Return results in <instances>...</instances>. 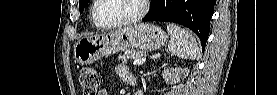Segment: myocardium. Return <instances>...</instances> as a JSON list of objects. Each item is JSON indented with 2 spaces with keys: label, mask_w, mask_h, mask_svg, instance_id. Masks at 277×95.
<instances>
[{
  "label": "myocardium",
  "mask_w": 277,
  "mask_h": 95,
  "mask_svg": "<svg viewBox=\"0 0 277 95\" xmlns=\"http://www.w3.org/2000/svg\"><path fill=\"white\" fill-rule=\"evenodd\" d=\"M138 1L140 2L141 8H140V11L135 16L127 18V19H121L118 21H114L112 23H104V22L99 21L96 18L95 11H96L97 6L101 2V0H95V3L93 4V6L91 8L92 21L101 28H115V27L134 24V23L138 22L139 20H141L148 11V0H138Z\"/></svg>",
  "instance_id": "f54148a6"
}]
</instances>
